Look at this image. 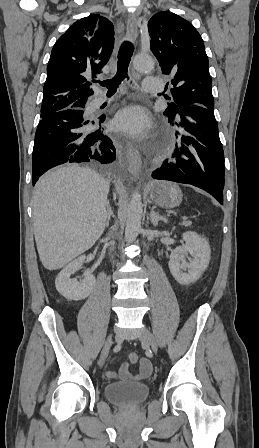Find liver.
I'll return each mask as SVG.
<instances>
[{"mask_svg": "<svg viewBox=\"0 0 259 448\" xmlns=\"http://www.w3.org/2000/svg\"><path fill=\"white\" fill-rule=\"evenodd\" d=\"M109 184L78 164L60 166L39 178L33 192V226L46 270H59L90 250L107 222Z\"/></svg>", "mask_w": 259, "mask_h": 448, "instance_id": "liver-1", "label": "liver"}]
</instances>
